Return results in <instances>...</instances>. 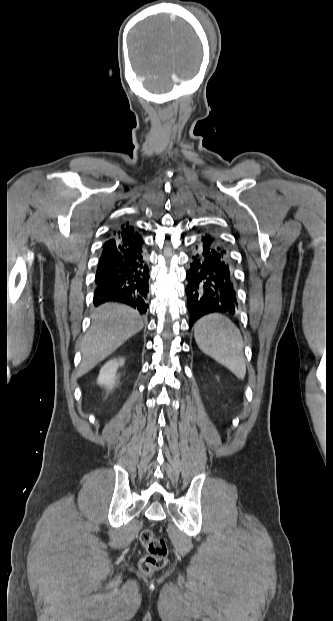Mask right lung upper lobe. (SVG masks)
I'll return each instance as SVG.
<instances>
[{"mask_svg":"<svg viewBox=\"0 0 333 621\" xmlns=\"http://www.w3.org/2000/svg\"><path fill=\"white\" fill-rule=\"evenodd\" d=\"M106 239H116L126 245H142L143 239L128 222L121 224L112 233H108Z\"/></svg>","mask_w":333,"mask_h":621,"instance_id":"cb5924a9","label":"right lung upper lobe"}]
</instances>
